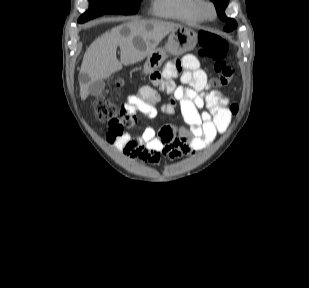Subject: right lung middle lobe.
Masks as SVG:
<instances>
[{"mask_svg":"<svg viewBox=\"0 0 309 288\" xmlns=\"http://www.w3.org/2000/svg\"><path fill=\"white\" fill-rule=\"evenodd\" d=\"M90 8L78 22L84 23L103 14H136L141 0H89Z\"/></svg>","mask_w":309,"mask_h":288,"instance_id":"right-lung-middle-lobe-1","label":"right lung middle lobe"}]
</instances>
